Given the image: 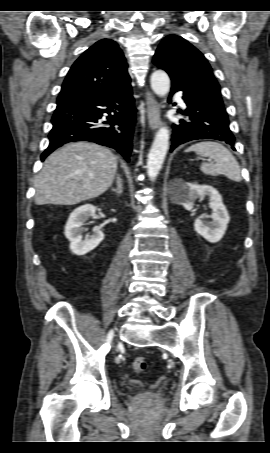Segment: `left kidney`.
Listing matches in <instances>:
<instances>
[{"mask_svg":"<svg viewBox=\"0 0 270 453\" xmlns=\"http://www.w3.org/2000/svg\"><path fill=\"white\" fill-rule=\"evenodd\" d=\"M209 197V206L212 209L210 218L212 221L196 219L194 222L195 231L211 243L220 241L227 229L230 217L222 202L219 192L209 185H198L184 183L183 194L180 202L183 207L191 211L198 198Z\"/></svg>","mask_w":270,"mask_h":453,"instance_id":"5707ae66","label":"left kidney"}]
</instances>
